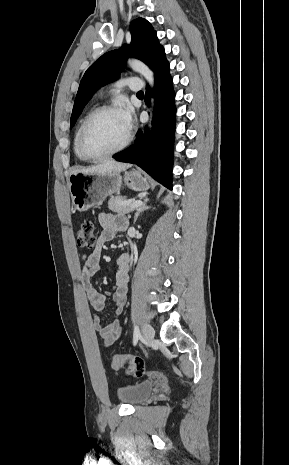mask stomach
I'll return each mask as SVG.
<instances>
[{
  "mask_svg": "<svg viewBox=\"0 0 289 465\" xmlns=\"http://www.w3.org/2000/svg\"><path fill=\"white\" fill-rule=\"evenodd\" d=\"M135 191L149 189L148 179L141 172L126 171L124 176L120 173H73L69 177V191L72 205L79 212L100 205L114 193L120 191L122 183Z\"/></svg>",
  "mask_w": 289,
  "mask_h": 465,
  "instance_id": "stomach-1",
  "label": "stomach"
}]
</instances>
